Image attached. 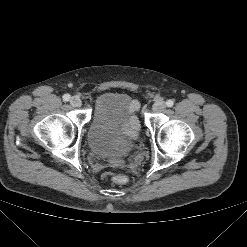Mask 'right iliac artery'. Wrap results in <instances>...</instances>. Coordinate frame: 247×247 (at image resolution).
I'll list each match as a JSON object with an SVG mask.
<instances>
[{
    "label": "right iliac artery",
    "mask_w": 247,
    "mask_h": 247,
    "mask_svg": "<svg viewBox=\"0 0 247 247\" xmlns=\"http://www.w3.org/2000/svg\"><path fill=\"white\" fill-rule=\"evenodd\" d=\"M63 100H64V101H69V100H70V95H69V94H65V95L63 96Z\"/></svg>",
    "instance_id": "1"
}]
</instances>
